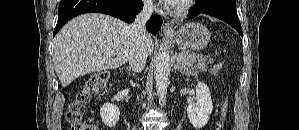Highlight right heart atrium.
Returning <instances> with one entry per match:
<instances>
[{"label": "right heart atrium", "instance_id": "right-heart-atrium-1", "mask_svg": "<svg viewBox=\"0 0 299 130\" xmlns=\"http://www.w3.org/2000/svg\"><path fill=\"white\" fill-rule=\"evenodd\" d=\"M145 6L148 8V9H152L153 8V5L150 1H147L145 2Z\"/></svg>", "mask_w": 299, "mask_h": 130}]
</instances>
